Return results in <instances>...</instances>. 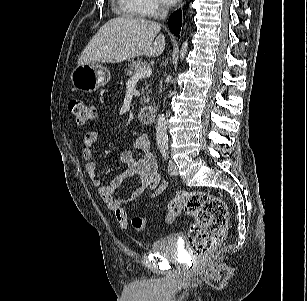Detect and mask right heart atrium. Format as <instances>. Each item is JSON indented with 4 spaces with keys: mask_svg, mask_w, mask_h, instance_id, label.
Listing matches in <instances>:
<instances>
[{
    "mask_svg": "<svg viewBox=\"0 0 307 301\" xmlns=\"http://www.w3.org/2000/svg\"><path fill=\"white\" fill-rule=\"evenodd\" d=\"M139 9L142 16L154 18L157 17L163 10L160 0H138Z\"/></svg>",
    "mask_w": 307,
    "mask_h": 301,
    "instance_id": "1",
    "label": "right heart atrium"
}]
</instances>
